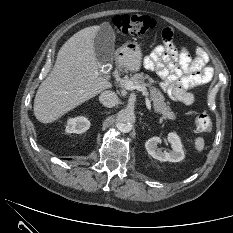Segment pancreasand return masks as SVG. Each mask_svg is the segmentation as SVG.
<instances>
[{
	"label": "pancreas",
	"mask_w": 233,
	"mask_h": 233,
	"mask_svg": "<svg viewBox=\"0 0 233 233\" xmlns=\"http://www.w3.org/2000/svg\"><path fill=\"white\" fill-rule=\"evenodd\" d=\"M128 81L133 82L135 85H142L149 88L150 100L153 103L155 113L161 114L165 119L172 121L176 119L174 112L171 111V108L165 103V98L162 92L153 86L156 82L152 78L143 73L134 74L130 78L126 76L119 81L120 87L124 88L125 83Z\"/></svg>",
	"instance_id": "cf45deb5"
}]
</instances>
